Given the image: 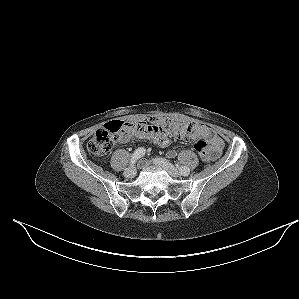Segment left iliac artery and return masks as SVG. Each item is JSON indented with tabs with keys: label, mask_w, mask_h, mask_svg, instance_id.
Instances as JSON below:
<instances>
[{
	"label": "left iliac artery",
	"mask_w": 299,
	"mask_h": 299,
	"mask_svg": "<svg viewBox=\"0 0 299 299\" xmlns=\"http://www.w3.org/2000/svg\"><path fill=\"white\" fill-rule=\"evenodd\" d=\"M189 172H190V169L188 168V167H180V173H181V175H184V176H186V175H188L189 174Z\"/></svg>",
	"instance_id": "44dca946"
}]
</instances>
